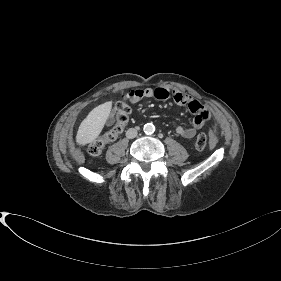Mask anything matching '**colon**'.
I'll list each match as a JSON object with an SVG mask.
<instances>
[{
	"mask_svg": "<svg viewBox=\"0 0 281 281\" xmlns=\"http://www.w3.org/2000/svg\"><path fill=\"white\" fill-rule=\"evenodd\" d=\"M130 107L124 102L120 101L116 105V124L115 126L104 134L103 137L93 141L88 147V153L91 156H99L105 145L115 141L118 136L122 133L124 126L129 120ZM208 144V138L205 134H200L196 138L195 145L197 149H204Z\"/></svg>",
	"mask_w": 281,
	"mask_h": 281,
	"instance_id": "colon-1",
	"label": "colon"
}]
</instances>
